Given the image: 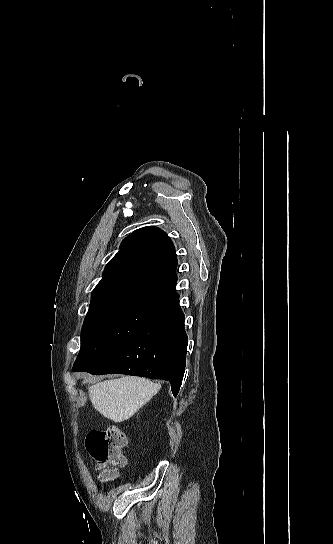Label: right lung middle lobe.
<instances>
[{
	"instance_id": "obj_1",
	"label": "right lung middle lobe",
	"mask_w": 333,
	"mask_h": 544,
	"mask_svg": "<svg viewBox=\"0 0 333 544\" xmlns=\"http://www.w3.org/2000/svg\"><path fill=\"white\" fill-rule=\"evenodd\" d=\"M171 303L145 297L91 303L81 332L74 367L108 355L144 330Z\"/></svg>"
}]
</instances>
